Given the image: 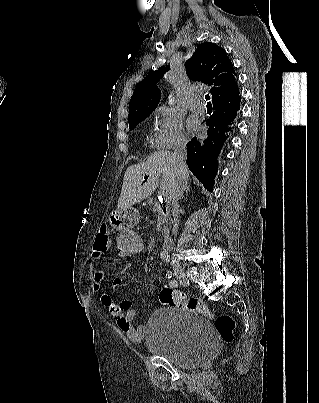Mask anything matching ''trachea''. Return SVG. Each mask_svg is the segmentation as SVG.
Segmentation results:
<instances>
[{"mask_svg":"<svg viewBox=\"0 0 319 403\" xmlns=\"http://www.w3.org/2000/svg\"><path fill=\"white\" fill-rule=\"evenodd\" d=\"M205 99H206V101H209L210 100V96L207 94V95H205ZM207 105H211V102H207Z\"/></svg>","mask_w":319,"mask_h":403,"instance_id":"obj_1","label":"trachea"}]
</instances>
